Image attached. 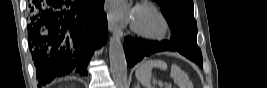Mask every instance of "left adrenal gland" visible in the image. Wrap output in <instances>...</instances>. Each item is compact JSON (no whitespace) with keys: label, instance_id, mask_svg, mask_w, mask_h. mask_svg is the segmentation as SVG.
Returning <instances> with one entry per match:
<instances>
[{"label":"left adrenal gland","instance_id":"a2214340","mask_svg":"<svg viewBox=\"0 0 267 88\" xmlns=\"http://www.w3.org/2000/svg\"><path fill=\"white\" fill-rule=\"evenodd\" d=\"M135 88H140L139 84H137V86H135Z\"/></svg>","mask_w":267,"mask_h":88}]
</instances>
